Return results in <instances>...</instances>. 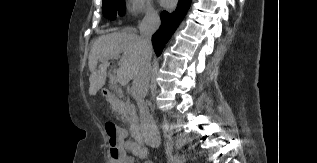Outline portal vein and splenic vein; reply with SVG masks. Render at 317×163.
<instances>
[{
    "mask_svg": "<svg viewBox=\"0 0 317 163\" xmlns=\"http://www.w3.org/2000/svg\"><path fill=\"white\" fill-rule=\"evenodd\" d=\"M113 57H111L110 59H112ZM117 59V58H114ZM117 82H119V75H111L110 76V83L111 84H116Z\"/></svg>",
    "mask_w": 317,
    "mask_h": 163,
    "instance_id": "18ae733b",
    "label": "portal vein and splenic vein"
}]
</instances>
